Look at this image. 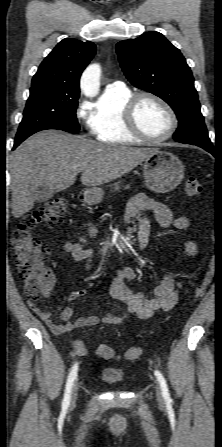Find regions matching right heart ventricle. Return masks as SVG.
Wrapping results in <instances>:
<instances>
[{
  "label": "right heart ventricle",
  "instance_id": "e07e8e85",
  "mask_svg": "<svg viewBox=\"0 0 222 447\" xmlns=\"http://www.w3.org/2000/svg\"><path fill=\"white\" fill-rule=\"evenodd\" d=\"M132 92L106 89L96 106L89 111L88 126L100 142L113 145L136 144L143 140L134 136L124 125L123 109Z\"/></svg>",
  "mask_w": 222,
  "mask_h": 447
}]
</instances>
